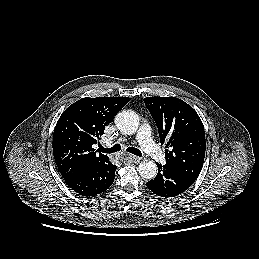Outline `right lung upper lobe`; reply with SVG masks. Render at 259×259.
I'll return each instance as SVG.
<instances>
[{"label":"right lung upper lobe","mask_w":259,"mask_h":259,"mask_svg":"<svg viewBox=\"0 0 259 259\" xmlns=\"http://www.w3.org/2000/svg\"><path fill=\"white\" fill-rule=\"evenodd\" d=\"M128 97L82 98L60 116L53 134V154L62 177L109 161L94 146L99 144L105 126L128 102Z\"/></svg>","instance_id":"1"}]
</instances>
